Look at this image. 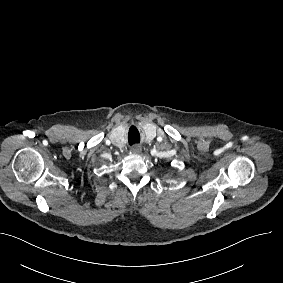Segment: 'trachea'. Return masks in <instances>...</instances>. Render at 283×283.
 I'll return each mask as SVG.
<instances>
[{
  "label": "trachea",
  "instance_id": "3493384b",
  "mask_svg": "<svg viewBox=\"0 0 283 283\" xmlns=\"http://www.w3.org/2000/svg\"><path fill=\"white\" fill-rule=\"evenodd\" d=\"M136 142H139V140H137V141L133 142L132 144H134V143H136Z\"/></svg>",
  "mask_w": 283,
  "mask_h": 283
}]
</instances>
